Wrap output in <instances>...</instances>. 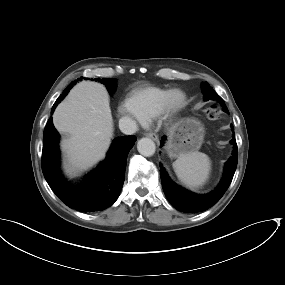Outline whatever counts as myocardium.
Masks as SVG:
<instances>
[{
	"instance_id": "obj_1",
	"label": "myocardium",
	"mask_w": 285,
	"mask_h": 285,
	"mask_svg": "<svg viewBox=\"0 0 285 285\" xmlns=\"http://www.w3.org/2000/svg\"><path fill=\"white\" fill-rule=\"evenodd\" d=\"M187 104V95L181 89L175 88L169 90L164 101L159 117L170 119L180 112Z\"/></svg>"
}]
</instances>
